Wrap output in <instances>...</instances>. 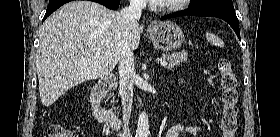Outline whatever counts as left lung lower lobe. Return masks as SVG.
<instances>
[{"label": "left lung lower lobe", "mask_w": 280, "mask_h": 137, "mask_svg": "<svg viewBox=\"0 0 280 137\" xmlns=\"http://www.w3.org/2000/svg\"><path fill=\"white\" fill-rule=\"evenodd\" d=\"M184 15L208 16V17L220 18L226 21L233 28L236 35L240 39L239 21L236 17L235 10L219 8V7H207V8H197V9L191 8L178 13L166 15L162 17L161 20L178 17V16H184Z\"/></svg>", "instance_id": "0a47b994"}]
</instances>
